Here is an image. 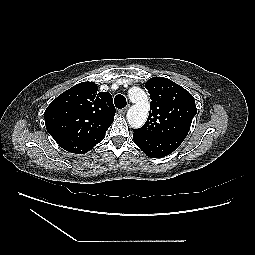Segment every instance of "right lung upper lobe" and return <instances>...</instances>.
<instances>
[{"instance_id":"obj_1","label":"right lung upper lobe","mask_w":255,"mask_h":255,"mask_svg":"<svg viewBox=\"0 0 255 255\" xmlns=\"http://www.w3.org/2000/svg\"><path fill=\"white\" fill-rule=\"evenodd\" d=\"M82 82L55 98L45 111L48 133L65 150L83 154L101 142L116 113L110 93Z\"/></svg>"}]
</instances>
